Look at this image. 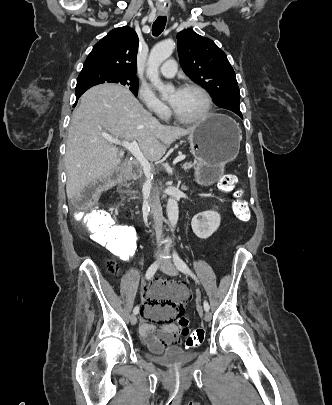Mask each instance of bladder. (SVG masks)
I'll use <instances>...</instances> for the list:
<instances>
[{
	"label": "bladder",
	"instance_id": "1",
	"mask_svg": "<svg viewBox=\"0 0 332 405\" xmlns=\"http://www.w3.org/2000/svg\"><path fill=\"white\" fill-rule=\"evenodd\" d=\"M144 358L166 366H183L198 356L196 351H188L175 345L158 344L157 348L144 342Z\"/></svg>",
	"mask_w": 332,
	"mask_h": 405
}]
</instances>
